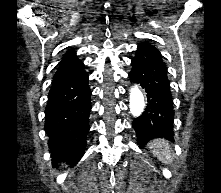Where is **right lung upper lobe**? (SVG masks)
<instances>
[{"label":"right lung upper lobe","instance_id":"1","mask_svg":"<svg viewBox=\"0 0 221 193\" xmlns=\"http://www.w3.org/2000/svg\"><path fill=\"white\" fill-rule=\"evenodd\" d=\"M82 65L83 63L76 57V52L69 50L63 55L55 75L70 72Z\"/></svg>","mask_w":221,"mask_h":193}]
</instances>
